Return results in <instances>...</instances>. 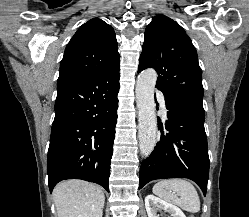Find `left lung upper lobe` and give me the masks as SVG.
Returning a JSON list of instances; mask_svg holds the SVG:
<instances>
[{
  "label": "left lung upper lobe",
  "mask_w": 249,
  "mask_h": 217,
  "mask_svg": "<svg viewBox=\"0 0 249 217\" xmlns=\"http://www.w3.org/2000/svg\"><path fill=\"white\" fill-rule=\"evenodd\" d=\"M154 68L156 87L166 93H182L203 99L202 72L197 52L184 29L159 14L146 27L138 72Z\"/></svg>",
  "instance_id": "left-lung-upper-lobe-1"
}]
</instances>
